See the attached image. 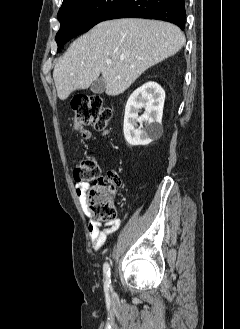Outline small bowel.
<instances>
[{
	"instance_id": "1",
	"label": "small bowel",
	"mask_w": 240,
	"mask_h": 329,
	"mask_svg": "<svg viewBox=\"0 0 240 329\" xmlns=\"http://www.w3.org/2000/svg\"><path fill=\"white\" fill-rule=\"evenodd\" d=\"M88 184H76L75 191L78 197V200L82 207H86L85 193L88 189ZM119 228V221H113L107 224L105 227H102V224L97 221H90L88 225L89 237L92 241L93 248L99 250L104 244L107 236L115 232Z\"/></svg>"
}]
</instances>
